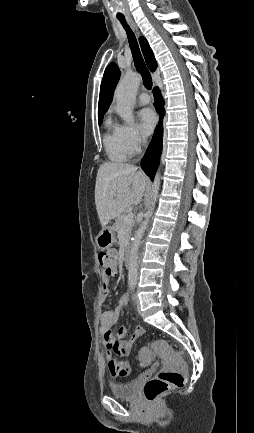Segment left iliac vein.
<instances>
[{"label":"left iliac vein","instance_id":"1","mask_svg":"<svg viewBox=\"0 0 254 433\" xmlns=\"http://www.w3.org/2000/svg\"><path fill=\"white\" fill-rule=\"evenodd\" d=\"M133 300H134V303H135V305L137 307V310L140 311V308H139V298H138V296H137L136 293L133 295Z\"/></svg>","mask_w":254,"mask_h":433}]
</instances>
